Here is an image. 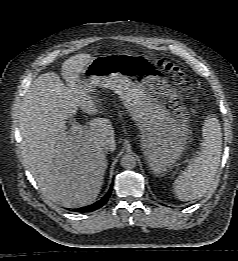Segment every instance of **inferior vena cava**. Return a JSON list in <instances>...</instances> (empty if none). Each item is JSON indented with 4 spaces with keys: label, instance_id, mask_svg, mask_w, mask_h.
<instances>
[{
    "label": "inferior vena cava",
    "instance_id": "602c4592",
    "mask_svg": "<svg viewBox=\"0 0 238 261\" xmlns=\"http://www.w3.org/2000/svg\"><path fill=\"white\" fill-rule=\"evenodd\" d=\"M101 150L104 151V152L109 151V150H110L109 144L104 143V144L101 146Z\"/></svg>",
    "mask_w": 238,
    "mask_h": 261
}]
</instances>
